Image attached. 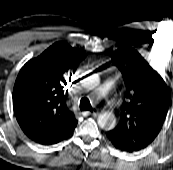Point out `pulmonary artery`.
<instances>
[{
	"label": "pulmonary artery",
	"instance_id": "obj_1",
	"mask_svg": "<svg viewBox=\"0 0 173 170\" xmlns=\"http://www.w3.org/2000/svg\"><path fill=\"white\" fill-rule=\"evenodd\" d=\"M111 85H112V82L111 81L105 80L102 83V86H101V92H102V94H106L110 90Z\"/></svg>",
	"mask_w": 173,
	"mask_h": 170
}]
</instances>
